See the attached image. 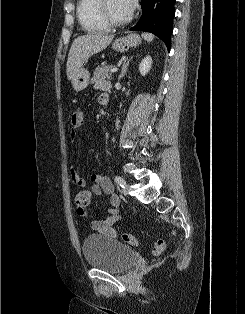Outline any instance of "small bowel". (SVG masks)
<instances>
[{"label":"small bowel","instance_id":"obj_1","mask_svg":"<svg viewBox=\"0 0 245 314\" xmlns=\"http://www.w3.org/2000/svg\"><path fill=\"white\" fill-rule=\"evenodd\" d=\"M95 88L101 89L103 91V94L107 95V101H108V89L109 84L106 82H98L94 85ZM101 95L98 97V102L100 104H106L107 102L103 101L101 99ZM84 121V112L81 109L75 110L70 119V138L74 142L77 139V131L82 126ZM70 176L71 180L74 185L78 187H85L87 184L86 179L78 173V171L71 167L70 170ZM91 181L93 182L91 186V193L93 195H101L106 194L110 197V207L107 209V215H105L100 220H93L90 223L91 230L100 233L104 236L110 237V238H116L118 236V230L114 228V224L120 219V198L114 193V187L110 181V179L106 176L93 174L91 175ZM84 218H90L91 214L89 211L82 214L79 213Z\"/></svg>","mask_w":245,"mask_h":314}]
</instances>
